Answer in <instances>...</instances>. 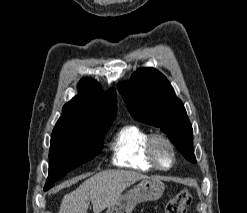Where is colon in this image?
I'll return each instance as SVG.
<instances>
[{"label":"colon","mask_w":247,"mask_h":213,"mask_svg":"<svg viewBox=\"0 0 247 213\" xmlns=\"http://www.w3.org/2000/svg\"><path fill=\"white\" fill-rule=\"evenodd\" d=\"M190 202V194L188 191L182 190L168 200L165 207V213H186Z\"/></svg>","instance_id":"5ec220e1"}]
</instances>
